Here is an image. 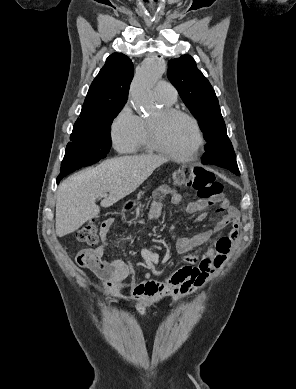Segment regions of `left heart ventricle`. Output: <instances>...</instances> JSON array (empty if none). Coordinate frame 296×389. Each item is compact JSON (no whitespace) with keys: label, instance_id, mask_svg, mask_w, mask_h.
Segmentation results:
<instances>
[{"label":"left heart ventricle","instance_id":"obj_1","mask_svg":"<svg viewBox=\"0 0 296 389\" xmlns=\"http://www.w3.org/2000/svg\"><path fill=\"white\" fill-rule=\"evenodd\" d=\"M149 120L155 122L161 141L174 153L185 155L195 146L196 133L188 119L180 116L163 118L159 110Z\"/></svg>","mask_w":296,"mask_h":389}]
</instances>
